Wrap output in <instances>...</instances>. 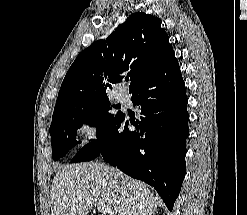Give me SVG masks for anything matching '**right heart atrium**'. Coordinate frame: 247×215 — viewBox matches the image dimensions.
Returning <instances> with one entry per match:
<instances>
[{
    "instance_id": "1",
    "label": "right heart atrium",
    "mask_w": 247,
    "mask_h": 215,
    "mask_svg": "<svg viewBox=\"0 0 247 215\" xmlns=\"http://www.w3.org/2000/svg\"><path fill=\"white\" fill-rule=\"evenodd\" d=\"M75 132L84 142H91L97 138L99 127L91 114H84L78 119Z\"/></svg>"
}]
</instances>
